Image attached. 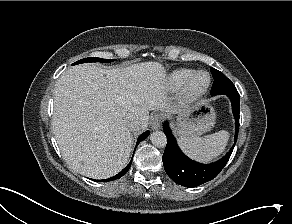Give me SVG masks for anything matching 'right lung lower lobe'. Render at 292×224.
<instances>
[{
    "label": "right lung lower lobe",
    "instance_id": "1",
    "mask_svg": "<svg viewBox=\"0 0 292 224\" xmlns=\"http://www.w3.org/2000/svg\"><path fill=\"white\" fill-rule=\"evenodd\" d=\"M149 136V131H146L144 132L143 134H141L139 137H138V140H137V144L136 146L139 144V142H141L142 140L146 139L147 137ZM131 163H132V160L130 161V163L121 171L119 172L117 175L109 178V179H106V180H95V181H99V182H108V181H113V180H116V179H119L120 177H122L130 168L131 166Z\"/></svg>",
    "mask_w": 292,
    "mask_h": 224
}]
</instances>
